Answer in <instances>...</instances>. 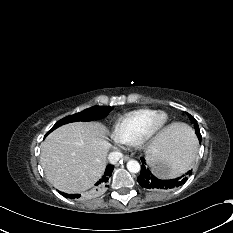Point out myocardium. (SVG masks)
<instances>
[{"label": "myocardium", "mask_w": 233, "mask_h": 233, "mask_svg": "<svg viewBox=\"0 0 233 233\" xmlns=\"http://www.w3.org/2000/svg\"><path fill=\"white\" fill-rule=\"evenodd\" d=\"M168 114L164 111H156L145 123L136 144L146 146L153 142L165 129L168 123Z\"/></svg>", "instance_id": "f54148a6"}]
</instances>
